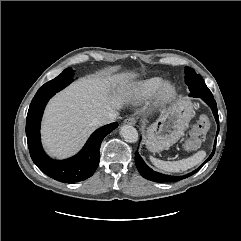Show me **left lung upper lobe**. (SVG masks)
I'll use <instances>...</instances> for the list:
<instances>
[{"label": "left lung upper lobe", "mask_w": 241, "mask_h": 241, "mask_svg": "<svg viewBox=\"0 0 241 241\" xmlns=\"http://www.w3.org/2000/svg\"><path fill=\"white\" fill-rule=\"evenodd\" d=\"M185 82L187 85L192 83L191 86L194 87V91L192 92L194 93L212 94L202 77L199 74H196L192 68H185Z\"/></svg>", "instance_id": "5c2ea615"}]
</instances>
